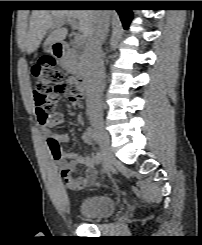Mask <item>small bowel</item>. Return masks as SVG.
Wrapping results in <instances>:
<instances>
[{"mask_svg": "<svg viewBox=\"0 0 202 245\" xmlns=\"http://www.w3.org/2000/svg\"><path fill=\"white\" fill-rule=\"evenodd\" d=\"M83 98L78 97V104H82ZM64 116L61 112H55L53 114L52 124H44L42 131L46 137L48 145L56 139L59 143H67L70 139L67 133H54L50 130V127L59 125L63 122ZM83 141L87 144H91L92 140L86 131L83 132ZM52 159L55 166L60 172L65 185L68 189L73 191L82 190L92 185L97 176L99 175V168L96 166V158L93 154L81 155L73 151H64L61 149L60 154L55 156L52 154ZM78 164L86 166L87 170L85 175L74 177L73 172L75 171Z\"/></svg>", "mask_w": 202, "mask_h": 245, "instance_id": "1", "label": "small bowel"}]
</instances>
